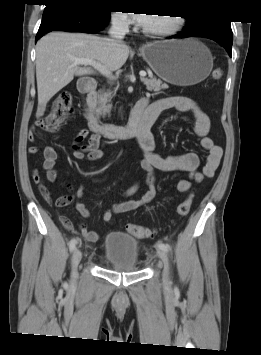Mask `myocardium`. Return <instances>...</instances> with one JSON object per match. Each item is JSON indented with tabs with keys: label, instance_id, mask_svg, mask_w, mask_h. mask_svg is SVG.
<instances>
[{
	"label": "myocardium",
	"instance_id": "f54148a6",
	"mask_svg": "<svg viewBox=\"0 0 261 355\" xmlns=\"http://www.w3.org/2000/svg\"><path fill=\"white\" fill-rule=\"evenodd\" d=\"M174 21L173 24L168 27V28H164V29H155V30H150V29H146L143 28L142 32L147 35V36H151V37H161V38H165V37H170L175 35L183 26V22H184V18L182 16L179 15H175L172 16Z\"/></svg>",
	"mask_w": 261,
	"mask_h": 355
}]
</instances>
